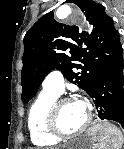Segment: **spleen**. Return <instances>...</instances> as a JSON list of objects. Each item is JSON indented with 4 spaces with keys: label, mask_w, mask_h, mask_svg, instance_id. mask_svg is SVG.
I'll list each match as a JSON object with an SVG mask.
<instances>
[{
    "label": "spleen",
    "mask_w": 124,
    "mask_h": 149,
    "mask_svg": "<svg viewBox=\"0 0 124 149\" xmlns=\"http://www.w3.org/2000/svg\"><path fill=\"white\" fill-rule=\"evenodd\" d=\"M120 135L121 132L117 127L103 123L95 135L99 149H121L123 138H120Z\"/></svg>",
    "instance_id": "3e777b00"
}]
</instances>
